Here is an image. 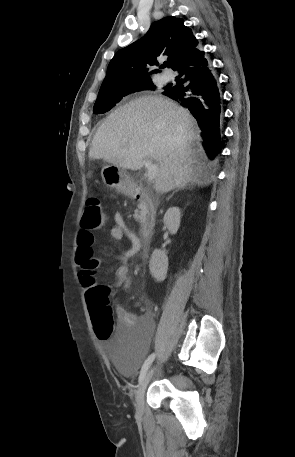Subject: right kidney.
Wrapping results in <instances>:
<instances>
[{
	"label": "right kidney",
	"instance_id": "1",
	"mask_svg": "<svg viewBox=\"0 0 295 457\" xmlns=\"http://www.w3.org/2000/svg\"><path fill=\"white\" fill-rule=\"evenodd\" d=\"M181 213L178 207H171L164 215L163 222L171 234H175L180 226ZM151 275L158 281L165 280L168 270V257L162 250L155 249L149 262Z\"/></svg>",
	"mask_w": 295,
	"mask_h": 457
}]
</instances>
